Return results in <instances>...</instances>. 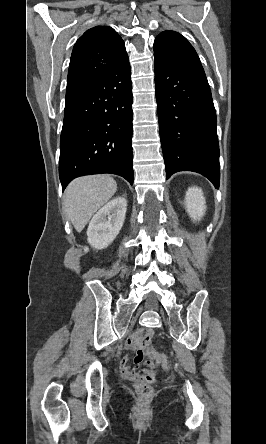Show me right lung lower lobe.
<instances>
[{
  "instance_id": "obj_1",
  "label": "right lung lower lobe",
  "mask_w": 266,
  "mask_h": 444,
  "mask_svg": "<svg viewBox=\"0 0 266 444\" xmlns=\"http://www.w3.org/2000/svg\"><path fill=\"white\" fill-rule=\"evenodd\" d=\"M132 84L128 58L66 101L60 138L62 190L76 177L112 173L131 185Z\"/></svg>"
}]
</instances>
